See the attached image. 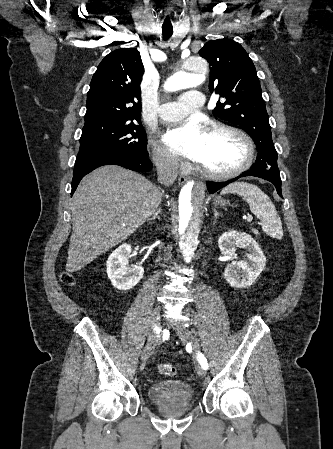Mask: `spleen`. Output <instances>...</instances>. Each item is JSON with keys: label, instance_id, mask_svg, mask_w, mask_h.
Returning <instances> with one entry per match:
<instances>
[{"label": "spleen", "instance_id": "1", "mask_svg": "<svg viewBox=\"0 0 333 449\" xmlns=\"http://www.w3.org/2000/svg\"><path fill=\"white\" fill-rule=\"evenodd\" d=\"M232 193L242 196L247 201L251 212L261 219L266 234L272 238H282L281 219L267 194L256 185L244 182L232 183L221 191L222 195Z\"/></svg>", "mask_w": 333, "mask_h": 449}]
</instances>
